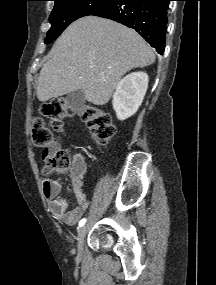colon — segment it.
<instances>
[{"label":"colon","instance_id":"colon-1","mask_svg":"<svg viewBox=\"0 0 216 285\" xmlns=\"http://www.w3.org/2000/svg\"><path fill=\"white\" fill-rule=\"evenodd\" d=\"M63 99H53L42 106V115L49 123L41 117L33 119L32 140L41 148L47 149L53 142L54 131H61L63 120L74 115ZM79 115L87 125L93 140L99 145L107 144L115 134V126L110 116L99 108L91 105L83 107ZM52 129V130H51ZM50 168L57 172H66L71 167V158L66 150L57 151L49 159Z\"/></svg>","mask_w":216,"mask_h":285}]
</instances>
